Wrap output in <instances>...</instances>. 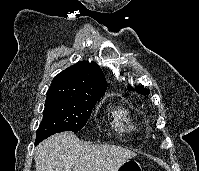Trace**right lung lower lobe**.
I'll use <instances>...</instances> for the list:
<instances>
[{
    "instance_id": "right-lung-lower-lobe-1",
    "label": "right lung lower lobe",
    "mask_w": 199,
    "mask_h": 171,
    "mask_svg": "<svg viewBox=\"0 0 199 171\" xmlns=\"http://www.w3.org/2000/svg\"><path fill=\"white\" fill-rule=\"evenodd\" d=\"M46 139V138H45ZM42 140H44V139H36V141H35V145H37L39 142H41Z\"/></svg>"
}]
</instances>
